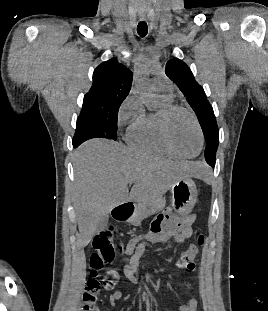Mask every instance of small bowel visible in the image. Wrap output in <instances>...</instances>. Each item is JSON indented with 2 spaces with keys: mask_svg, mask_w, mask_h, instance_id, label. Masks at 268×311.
<instances>
[{
  "mask_svg": "<svg viewBox=\"0 0 268 311\" xmlns=\"http://www.w3.org/2000/svg\"><path fill=\"white\" fill-rule=\"evenodd\" d=\"M195 220L194 215L176 220L167 215L160 216L153 224L152 229L145 235L131 239L126 248L125 255L127 257L123 266V273L126 278L134 284H138L140 279L139 265L146 249L156 243H165L173 240L177 243H183L193 235L192 223ZM121 298V293L115 291L111 294V301ZM142 299L145 304L146 311L151 310V295L149 290L144 289ZM198 300L192 296L186 304L179 307V311H197Z\"/></svg>",
  "mask_w": 268,
  "mask_h": 311,
  "instance_id": "c3829d8e",
  "label": "small bowel"
}]
</instances>
